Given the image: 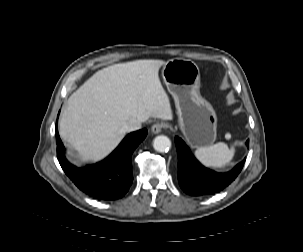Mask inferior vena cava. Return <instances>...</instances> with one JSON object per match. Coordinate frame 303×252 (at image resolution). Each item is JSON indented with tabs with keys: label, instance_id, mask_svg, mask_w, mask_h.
Segmentation results:
<instances>
[{
	"label": "inferior vena cava",
	"instance_id": "inferior-vena-cava-1",
	"mask_svg": "<svg viewBox=\"0 0 303 252\" xmlns=\"http://www.w3.org/2000/svg\"><path fill=\"white\" fill-rule=\"evenodd\" d=\"M141 128V122L137 119L129 121L125 126L123 127V130L125 132H132L139 130Z\"/></svg>",
	"mask_w": 303,
	"mask_h": 252
}]
</instances>
